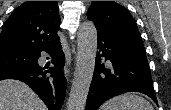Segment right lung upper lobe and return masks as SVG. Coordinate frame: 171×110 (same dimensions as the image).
<instances>
[{
  "instance_id": "1",
  "label": "right lung upper lobe",
  "mask_w": 171,
  "mask_h": 110,
  "mask_svg": "<svg viewBox=\"0 0 171 110\" xmlns=\"http://www.w3.org/2000/svg\"><path fill=\"white\" fill-rule=\"evenodd\" d=\"M60 17L57 1H26L5 22L0 34V50L38 52L55 44Z\"/></svg>"
}]
</instances>
